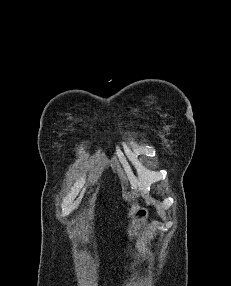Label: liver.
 Listing matches in <instances>:
<instances>
[{
    "label": "liver",
    "instance_id": "1",
    "mask_svg": "<svg viewBox=\"0 0 231 286\" xmlns=\"http://www.w3.org/2000/svg\"><path fill=\"white\" fill-rule=\"evenodd\" d=\"M138 209H140L139 205H132L129 211V217L133 216Z\"/></svg>",
    "mask_w": 231,
    "mask_h": 286
}]
</instances>
